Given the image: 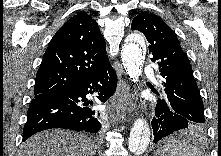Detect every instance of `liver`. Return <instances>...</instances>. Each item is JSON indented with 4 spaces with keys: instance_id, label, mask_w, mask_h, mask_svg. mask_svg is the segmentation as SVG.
Instances as JSON below:
<instances>
[{
    "instance_id": "liver-1",
    "label": "liver",
    "mask_w": 221,
    "mask_h": 156,
    "mask_svg": "<svg viewBox=\"0 0 221 156\" xmlns=\"http://www.w3.org/2000/svg\"><path fill=\"white\" fill-rule=\"evenodd\" d=\"M96 145L83 134L65 130H46L30 137L21 156H95Z\"/></svg>"
}]
</instances>
